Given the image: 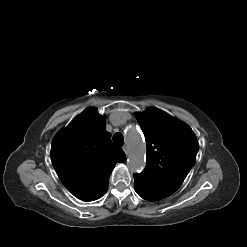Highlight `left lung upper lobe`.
I'll return each mask as SVG.
<instances>
[{"label": "left lung upper lobe", "instance_id": "5c2ea615", "mask_svg": "<svg viewBox=\"0 0 247 247\" xmlns=\"http://www.w3.org/2000/svg\"><path fill=\"white\" fill-rule=\"evenodd\" d=\"M145 135L147 165L134 174L148 189L168 197L183 183L199 149L195 133L185 123L157 109L136 113Z\"/></svg>", "mask_w": 247, "mask_h": 247}]
</instances>
